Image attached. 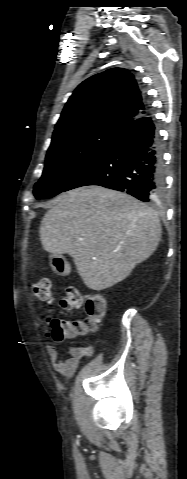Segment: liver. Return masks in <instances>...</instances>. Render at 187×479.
<instances>
[{
	"label": "liver",
	"mask_w": 187,
	"mask_h": 479,
	"mask_svg": "<svg viewBox=\"0 0 187 479\" xmlns=\"http://www.w3.org/2000/svg\"><path fill=\"white\" fill-rule=\"evenodd\" d=\"M160 238V220L153 210L101 186L59 195L40 225L44 250L70 255L84 284L97 291L127 278L155 252Z\"/></svg>",
	"instance_id": "6515ba94"
}]
</instances>
